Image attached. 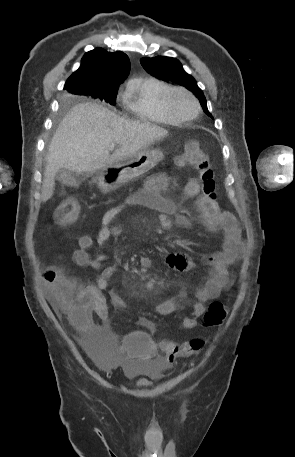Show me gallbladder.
<instances>
[{
  "mask_svg": "<svg viewBox=\"0 0 295 457\" xmlns=\"http://www.w3.org/2000/svg\"><path fill=\"white\" fill-rule=\"evenodd\" d=\"M55 178H56L57 181H59L63 185H66V186H69V187H73V186H77L81 182V180L83 178V175L82 174L73 173V172L68 171L66 169H60L56 173Z\"/></svg>",
  "mask_w": 295,
  "mask_h": 457,
  "instance_id": "gallbladder-1",
  "label": "gallbladder"
}]
</instances>
